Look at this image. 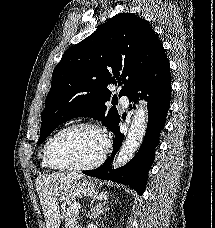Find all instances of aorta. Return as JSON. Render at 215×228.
Returning <instances> with one entry per match:
<instances>
[{
	"instance_id": "obj_1",
	"label": "aorta",
	"mask_w": 215,
	"mask_h": 228,
	"mask_svg": "<svg viewBox=\"0 0 215 228\" xmlns=\"http://www.w3.org/2000/svg\"><path fill=\"white\" fill-rule=\"evenodd\" d=\"M147 124L148 108L147 104H142L132 116L128 136L123 146H121L116 158H114V168H121V166H125L127 162L132 160L135 152H137L139 146H141L143 142Z\"/></svg>"
}]
</instances>
